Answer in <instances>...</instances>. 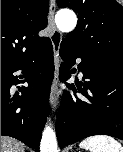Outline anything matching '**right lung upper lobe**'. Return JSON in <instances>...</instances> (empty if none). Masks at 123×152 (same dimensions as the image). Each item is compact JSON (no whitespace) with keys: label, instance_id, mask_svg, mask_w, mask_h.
<instances>
[{"label":"right lung upper lobe","instance_id":"cb5924a9","mask_svg":"<svg viewBox=\"0 0 123 152\" xmlns=\"http://www.w3.org/2000/svg\"><path fill=\"white\" fill-rule=\"evenodd\" d=\"M48 0H1V64H18L40 50L48 37Z\"/></svg>","mask_w":123,"mask_h":152}]
</instances>
